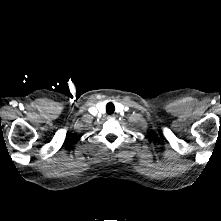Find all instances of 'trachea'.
I'll use <instances>...</instances> for the list:
<instances>
[{
  "label": "trachea",
  "instance_id": "trachea-1",
  "mask_svg": "<svg viewBox=\"0 0 221 221\" xmlns=\"http://www.w3.org/2000/svg\"><path fill=\"white\" fill-rule=\"evenodd\" d=\"M114 110H115V107H114V104L109 102L107 105H106V112L107 114H113L114 113Z\"/></svg>",
  "mask_w": 221,
  "mask_h": 221
}]
</instances>
